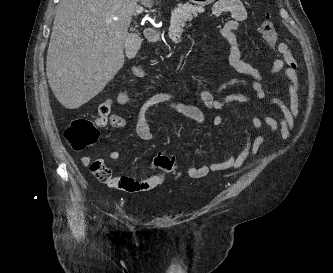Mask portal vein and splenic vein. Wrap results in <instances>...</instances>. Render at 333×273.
<instances>
[{"label":"portal vein and splenic vein","instance_id":"18ae733b","mask_svg":"<svg viewBox=\"0 0 333 273\" xmlns=\"http://www.w3.org/2000/svg\"><path fill=\"white\" fill-rule=\"evenodd\" d=\"M143 10H144L143 7L138 5L135 9V13L136 14H141L143 12Z\"/></svg>","mask_w":333,"mask_h":273}]
</instances>
